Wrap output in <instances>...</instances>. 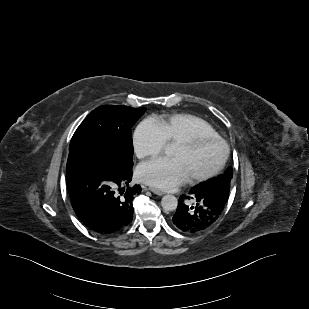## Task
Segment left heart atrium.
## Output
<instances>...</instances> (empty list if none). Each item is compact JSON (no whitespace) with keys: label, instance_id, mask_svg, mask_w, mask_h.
I'll use <instances>...</instances> for the list:
<instances>
[{"label":"left heart atrium","instance_id":"1","mask_svg":"<svg viewBox=\"0 0 309 309\" xmlns=\"http://www.w3.org/2000/svg\"><path fill=\"white\" fill-rule=\"evenodd\" d=\"M136 176L139 181L163 190H172L190 178L177 158H158L145 162L137 168Z\"/></svg>","mask_w":309,"mask_h":309}]
</instances>
